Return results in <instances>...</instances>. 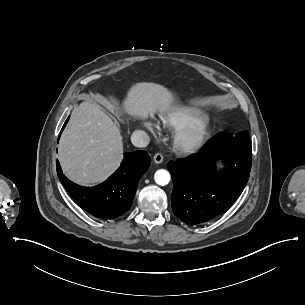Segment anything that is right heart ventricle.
I'll list each match as a JSON object with an SVG mask.
<instances>
[{
    "mask_svg": "<svg viewBox=\"0 0 305 305\" xmlns=\"http://www.w3.org/2000/svg\"><path fill=\"white\" fill-rule=\"evenodd\" d=\"M208 117V113L202 109L191 106H182L161 115L159 118V124L166 130L177 132L189 123Z\"/></svg>",
    "mask_w": 305,
    "mask_h": 305,
    "instance_id": "obj_1",
    "label": "right heart ventricle"
}]
</instances>
